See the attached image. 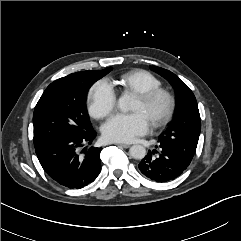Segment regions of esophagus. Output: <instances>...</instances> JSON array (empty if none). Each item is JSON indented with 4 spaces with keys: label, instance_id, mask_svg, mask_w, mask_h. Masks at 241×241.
<instances>
[{
    "label": "esophagus",
    "instance_id": "esophagus-1",
    "mask_svg": "<svg viewBox=\"0 0 241 241\" xmlns=\"http://www.w3.org/2000/svg\"><path fill=\"white\" fill-rule=\"evenodd\" d=\"M117 145H119V146H121V147H123V148H129V147H130L129 144H117Z\"/></svg>",
    "mask_w": 241,
    "mask_h": 241
}]
</instances>
